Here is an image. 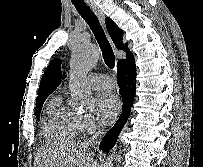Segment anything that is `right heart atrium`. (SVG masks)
<instances>
[{"mask_svg": "<svg viewBox=\"0 0 203 167\" xmlns=\"http://www.w3.org/2000/svg\"><path fill=\"white\" fill-rule=\"evenodd\" d=\"M80 131L91 132L96 128L95 121L90 115H78Z\"/></svg>", "mask_w": 203, "mask_h": 167, "instance_id": "right-heart-atrium-1", "label": "right heart atrium"}]
</instances>
